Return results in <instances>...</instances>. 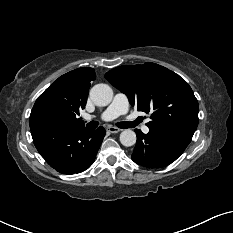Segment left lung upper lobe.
Instances as JSON below:
<instances>
[{"instance_id": "obj_1", "label": "left lung upper lobe", "mask_w": 233, "mask_h": 233, "mask_svg": "<svg viewBox=\"0 0 233 233\" xmlns=\"http://www.w3.org/2000/svg\"><path fill=\"white\" fill-rule=\"evenodd\" d=\"M105 78L126 94L138 111L151 112L149 129L175 130L194 134L198 125L196 97L178 74L155 63L124 65Z\"/></svg>"}]
</instances>
